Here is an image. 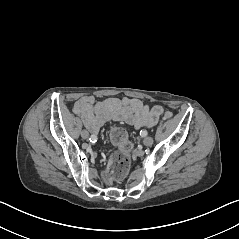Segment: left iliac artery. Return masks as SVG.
Returning a JSON list of instances; mask_svg holds the SVG:
<instances>
[{
  "instance_id": "44dca946",
  "label": "left iliac artery",
  "mask_w": 239,
  "mask_h": 239,
  "mask_svg": "<svg viewBox=\"0 0 239 239\" xmlns=\"http://www.w3.org/2000/svg\"><path fill=\"white\" fill-rule=\"evenodd\" d=\"M147 131L146 130H141L140 131V135L142 136V137H145V136H147Z\"/></svg>"
}]
</instances>
